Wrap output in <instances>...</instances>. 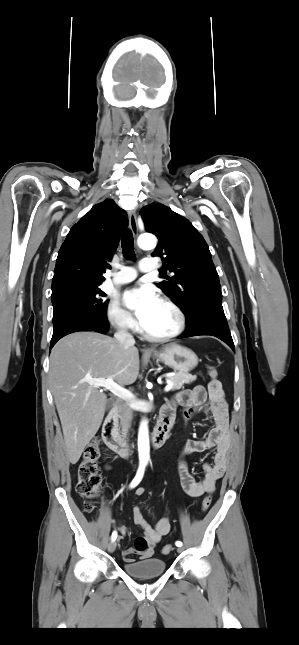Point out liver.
Wrapping results in <instances>:
<instances>
[{
  "instance_id": "liver-1",
  "label": "liver",
  "mask_w": 299,
  "mask_h": 645,
  "mask_svg": "<svg viewBox=\"0 0 299 645\" xmlns=\"http://www.w3.org/2000/svg\"><path fill=\"white\" fill-rule=\"evenodd\" d=\"M175 344L166 346L170 348ZM139 374V352L97 332H76L57 342L50 354L49 380L61 421L66 455L76 464L102 423L106 394L88 379L112 377L119 386Z\"/></svg>"
}]
</instances>
